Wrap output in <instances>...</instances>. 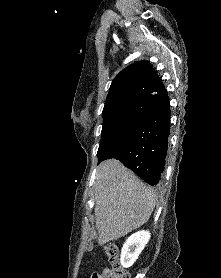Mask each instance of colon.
I'll use <instances>...</instances> for the list:
<instances>
[{"mask_svg":"<svg viewBox=\"0 0 221 278\" xmlns=\"http://www.w3.org/2000/svg\"><path fill=\"white\" fill-rule=\"evenodd\" d=\"M105 250L111 267L105 268L100 272H94L91 278H130L129 273L119 263L118 247L113 243H109L105 246Z\"/></svg>","mask_w":221,"mask_h":278,"instance_id":"5ec220e1","label":"colon"}]
</instances>
